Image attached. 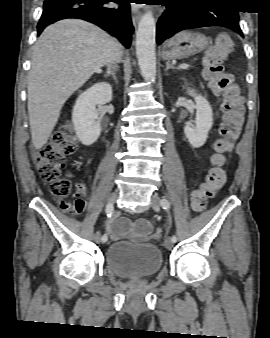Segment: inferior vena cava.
<instances>
[{"mask_svg":"<svg viewBox=\"0 0 270 338\" xmlns=\"http://www.w3.org/2000/svg\"><path fill=\"white\" fill-rule=\"evenodd\" d=\"M120 57H121V52L112 55L110 58V64H115L116 62H118L120 60Z\"/></svg>","mask_w":270,"mask_h":338,"instance_id":"1","label":"inferior vena cava"}]
</instances>
